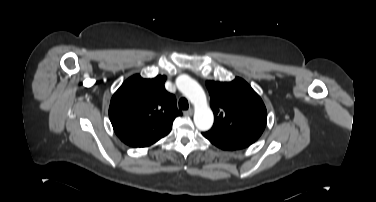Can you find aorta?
Listing matches in <instances>:
<instances>
[{
  "label": "aorta",
  "instance_id": "1",
  "mask_svg": "<svg viewBox=\"0 0 376 202\" xmlns=\"http://www.w3.org/2000/svg\"><path fill=\"white\" fill-rule=\"evenodd\" d=\"M179 91L186 96L195 107L194 123L200 131L209 130L214 121L213 112L207 105V99L202 87L187 75L176 79Z\"/></svg>",
  "mask_w": 376,
  "mask_h": 202
}]
</instances>
